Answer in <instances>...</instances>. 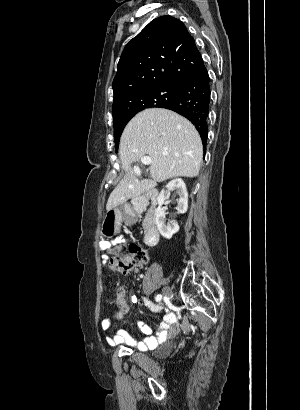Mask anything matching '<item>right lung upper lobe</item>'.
Instances as JSON below:
<instances>
[{
	"label": "right lung upper lobe",
	"instance_id": "right-lung-upper-lobe-1",
	"mask_svg": "<svg viewBox=\"0 0 300 410\" xmlns=\"http://www.w3.org/2000/svg\"><path fill=\"white\" fill-rule=\"evenodd\" d=\"M202 62L194 38L180 20L171 16L154 19L126 45L120 57L113 81V118L130 113L129 105L139 92L181 87Z\"/></svg>",
	"mask_w": 300,
	"mask_h": 410
}]
</instances>
